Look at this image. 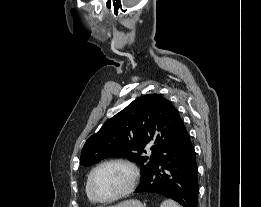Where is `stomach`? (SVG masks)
Returning a JSON list of instances; mask_svg holds the SVG:
<instances>
[{"mask_svg":"<svg viewBox=\"0 0 261 207\" xmlns=\"http://www.w3.org/2000/svg\"><path fill=\"white\" fill-rule=\"evenodd\" d=\"M110 207H146L145 204H142L139 200H126L117 205Z\"/></svg>","mask_w":261,"mask_h":207,"instance_id":"stomach-1","label":"stomach"}]
</instances>
